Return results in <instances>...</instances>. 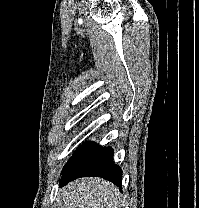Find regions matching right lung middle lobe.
I'll use <instances>...</instances> for the list:
<instances>
[{"label": "right lung middle lobe", "mask_w": 199, "mask_h": 208, "mask_svg": "<svg viewBox=\"0 0 199 208\" xmlns=\"http://www.w3.org/2000/svg\"><path fill=\"white\" fill-rule=\"evenodd\" d=\"M78 150V149H77ZM77 150L75 151V153L72 155V157L70 158V160L68 161V163L64 166L63 170L66 168V166L73 160V158L75 157Z\"/></svg>", "instance_id": "dd1d6c3e"}]
</instances>
